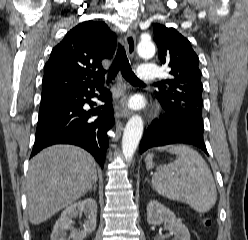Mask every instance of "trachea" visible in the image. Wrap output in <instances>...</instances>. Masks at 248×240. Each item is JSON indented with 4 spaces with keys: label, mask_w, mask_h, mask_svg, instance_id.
I'll return each mask as SVG.
<instances>
[{
    "label": "trachea",
    "mask_w": 248,
    "mask_h": 240,
    "mask_svg": "<svg viewBox=\"0 0 248 240\" xmlns=\"http://www.w3.org/2000/svg\"><path fill=\"white\" fill-rule=\"evenodd\" d=\"M119 70H121L123 77L130 83H133V84L143 83L137 78V76L132 71L130 63L126 56L125 48L121 44L118 45V50H117L115 60L109 69V75L107 79L108 83L111 82V80L115 78Z\"/></svg>",
    "instance_id": "3493384b"
}]
</instances>
